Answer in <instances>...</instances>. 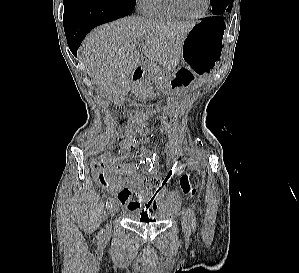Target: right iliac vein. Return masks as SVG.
I'll use <instances>...</instances> for the list:
<instances>
[{
  "label": "right iliac vein",
  "instance_id": "63e3f726",
  "mask_svg": "<svg viewBox=\"0 0 299 273\" xmlns=\"http://www.w3.org/2000/svg\"><path fill=\"white\" fill-rule=\"evenodd\" d=\"M109 212L111 216H114L118 212V205L115 202L110 206Z\"/></svg>",
  "mask_w": 299,
  "mask_h": 273
}]
</instances>
